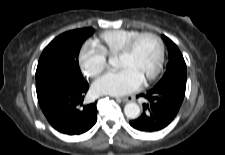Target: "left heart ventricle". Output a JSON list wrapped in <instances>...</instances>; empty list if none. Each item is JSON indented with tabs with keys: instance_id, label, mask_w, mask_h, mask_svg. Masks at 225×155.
Returning <instances> with one entry per match:
<instances>
[{
	"instance_id": "b2bd125f",
	"label": "left heart ventricle",
	"mask_w": 225,
	"mask_h": 155,
	"mask_svg": "<svg viewBox=\"0 0 225 155\" xmlns=\"http://www.w3.org/2000/svg\"><path fill=\"white\" fill-rule=\"evenodd\" d=\"M158 58V45L151 37L138 41L133 52L127 56H118L116 65L120 69L133 70L142 80L152 73Z\"/></svg>"
}]
</instances>
